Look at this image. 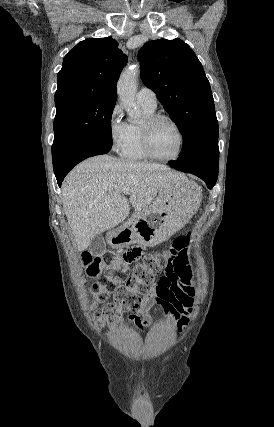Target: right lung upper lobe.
Listing matches in <instances>:
<instances>
[{"label":"right lung upper lobe","instance_id":"1","mask_svg":"<svg viewBox=\"0 0 274 427\" xmlns=\"http://www.w3.org/2000/svg\"><path fill=\"white\" fill-rule=\"evenodd\" d=\"M127 60L111 37L81 41L63 60L55 105L94 96L117 97L116 83Z\"/></svg>","mask_w":274,"mask_h":427}]
</instances>
